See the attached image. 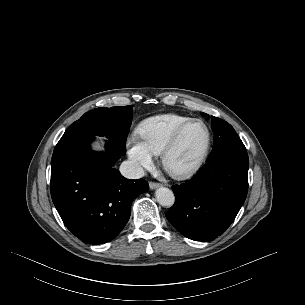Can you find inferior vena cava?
Instances as JSON below:
<instances>
[{
	"label": "inferior vena cava",
	"mask_w": 305,
	"mask_h": 305,
	"mask_svg": "<svg viewBox=\"0 0 305 305\" xmlns=\"http://www.w3.org/2000/svg\"><path fill=\"white\" fill-rule=\"evenodd\" d=\"M121 174L128 179H139L144 176L143 168L133 162V161H124L119 168Z\"/></svg>",
	"instance_id": "602c4592"
}]
</instances>
